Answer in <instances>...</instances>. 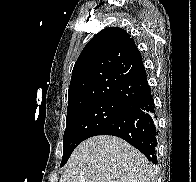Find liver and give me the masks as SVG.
<instances>
[{"label":"liver","instance_id":"6515ba94","mask_svg":"<svg viewBox=\"0 0 196 182\" xmlns=\"http://www.w3.org/2000/svg\"><path fill=\"white\" fill-rule=\"evenodd\" d=\"M59 182H156L146 157L126 141L107 135L83 141Z\"/></svg>","mask_w":196,"mask_h":182}]
</instances>
